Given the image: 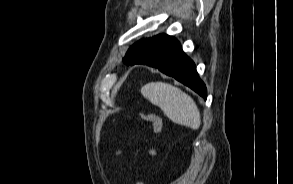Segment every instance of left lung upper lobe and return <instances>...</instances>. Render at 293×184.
Returning <instances> with one entry per match:
<instances>
[{
    "instance_id": "obj_1",
    "label": "left lung upper lobe",
    "mask_w": 293,
    "mask_h": 184,
    "mask_svg": "<svg viewBox=\"0 0 293 184\" xmlns=\"http://www.w3.org/2000/svg\"><path fill=\"white\" fill-rule=\"evenodd\" d=\"M151 38L142 39L135 44H133L127 51L123 62L126 65L137 64L139 61L147 59L149 57L146 50V44Z\"/></svg>"
}]
</instances>
